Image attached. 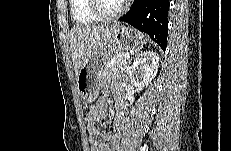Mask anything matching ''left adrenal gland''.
Wrapping results in <instances>:
<instances>
[{"mask_svg":"<svg viewBox=\"0 0 231 151\" xmlns=\"http://www.w3.org/2000/svg\"><path fill=\"white\" fill-rule=\"evenodd\" d=\"M129 63H130V61H129ZM129 71H130V68L128 67V69H127V73L129 74Z\"/></svg>","mask_w":231,"mask_h":151,"instance_id":"obj_1","label":"left adrenal gland"}]
</instances>
